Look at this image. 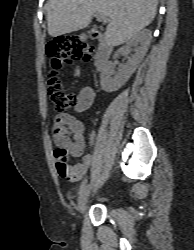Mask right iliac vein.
<instances>
[{
  "instance_id": "63e3f726",
  "label": "right iliac vein",
  "mask_w": 194,
  "mask_h": 250,
  "mask_svg": "<svg viewBox=\"0 0 194 250\" xmlns=\"http://www.w3.org/2000/svg\"><path fill=\"white\" fill-rule=\"evenodd\" d=\"M90 190H91V185H87L82 191V193L80 194L79 199H78L79 211H83L85 209V206L88 201L89 194H90Z\"/></svg>"
}]
</instances>
